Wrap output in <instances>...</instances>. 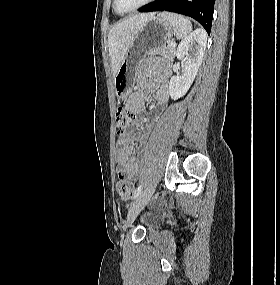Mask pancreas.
<instances>
[{"label": "pancreas", "instance_id": "cf45deb5", "mask_svg": "<svg viewBox=\"0 0 280 285\" xmlns=\"http://www.w3.org/2000/svg\"><path fill=\"white\" fill-rule=\"evenodd\" d=\"M170 42L166 45H162L161 47L155 48L151 50L148 54H157L164 57L167 60L172 61L175 55V48H172L169 45Z\"/></svg>", "mask_w": 280, "mask_h": 285}]
</instances>
